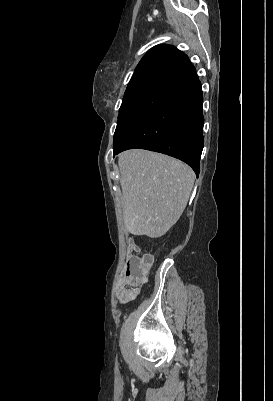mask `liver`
<instances>
[{"label":"liver","mask_w":273,"mask_h":401,"mask_svg":"<svg viewBox=\"0 0 273 401\" xmlns=\"http://www.w3.org/2000/svg\"><path fill=\"white\" fill-rule=\"evenodd\" d=\"M124 223L132 235L162 237L180 219L195 174L177 158L151 150H125L118 158Z\"/></svg>","instance_id":"6515ba94"}]
</instances>
